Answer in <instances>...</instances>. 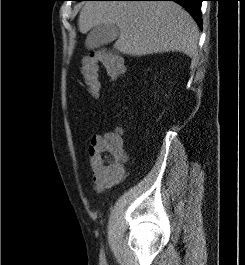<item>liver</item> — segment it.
I'll use <instances>...</instances> for the list:
<instances>
[{
	"label": "liver",
	"mask_w": 245,
	"mask_h": 265,
	"mask_svg": "<svg viewBox=\"0 0 245 265\" xmlns=\"http://www.w3.org/2000/svg\"><path fill=\"white\" fill-rule=\"evenodd\" d=\"M100 24H114L119 28L120 36L114 48L123 54L143 56L178 51L194 57L197 52L198 26L175 2H86L79 14V31L86 34Z\"/></svg>",
	"instance_id": "obj_1"
}]
</instances>
